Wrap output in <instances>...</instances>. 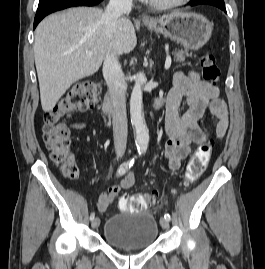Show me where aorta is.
<instances>
[{"instance_id":"obj_1","label":"aorta","mask_w":265,"mask_h":269,"mask_svg":"<svg viewBox=\"0 0 265 269\" xmlns=\"http://www.w3.org/2000/svg\"><path fill=\"white\" fill-rule=\"evenodd\" d=\"M146 80L145 74L140 72L135 77V84L130 98V117L135 130V143L139 155L147 151L149 143L148 129L143 115L142 85Z\"/></svg>"}]
</instances>
